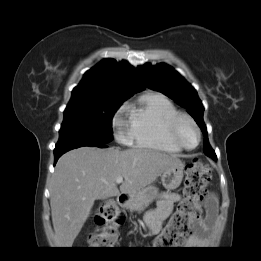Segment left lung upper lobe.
Segmentation results:
<instances>
[{
	"label": "left lung upper lobe",
	"instance_id": "obj_1",
	"mask_svg": "<svg viewBox=\"0 0 261 261\" xmlns=\"http://www.w3.org/2000/svg\"><path fill=\"white\" fill-rule=\"evenodd\" d=\"M142 81L148 88L162 92L173 99L180 106L187 109V112L195 119L204 136L207 130L203 122L204 107L196 90L170 66L160 63L156 66L144 64L137 67ZM204 153L214 160H217L214 150L211 148L208 139L204 140Z\"/></svg>",
	"mask_w": 261,
	"mask_h": 261
}]
</instances>
